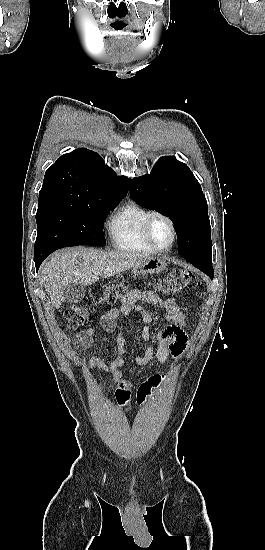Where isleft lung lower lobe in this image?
<instances>
[{
    "label": "left lung lower lobe",
    "mask_w": 265,
    "mask_h": 550,
    "mask_svg": "<svg viewBox=\"0 0 265 550\" xmlns=\"http://www.w3.org/2000/svg\"><path fill=\"white\" fill-rule=\"evenodd\" d=\"M186 261L192 263L196 268L200 269L202 272L207 274L211 279L214 277L213 267H212V255H197L189 257Z\"/></svg>",
    "instance_id": "obj_1"
}]
</instances>
